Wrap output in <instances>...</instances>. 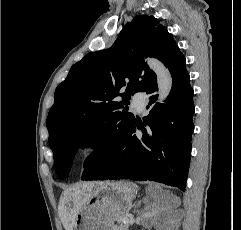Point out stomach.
Here are the masks:
<instances>
[{"label": "stomach", "instance_id": "stomach-1", "mask_svg": "<svg viewBox=\"0 0 241 230\" xmlns=\"http://www.w3.org/2000/svg\"><path fill=\"white\" fill-rule=\"evenodd\" d=\"M136 194L128 182L96 183L77 214L74 230H113L114 222L130 211Z\"/></svg>", "mask_w": 241, "mask_h": 230}]
</instances>
